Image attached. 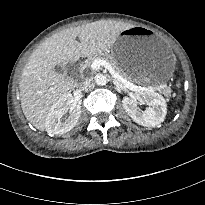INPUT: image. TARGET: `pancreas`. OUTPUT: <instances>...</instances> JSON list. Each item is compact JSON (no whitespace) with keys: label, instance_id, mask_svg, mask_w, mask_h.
Masks as SVG:
<instances>
[{"label":"pancreas","instance_id":"obj_1","mask_svg":"<svg viewBox=\"0 0 205 205\" xmlns=\"http://www.w3.org/2000/svg\"><path fill=\"white\" fill-rule=\"evenodd\" d=\"M95 59H102V60L107 61L112 66V68L115 70L116 73H118L121 77L129 80V78L121 71V69L119 68L117 62L113 59V57L111 55H108V54L100 53V54H95V55L90 56L85 61V66L91 67L92 62Z\"/></svg>","mask_w":205,"mask_h":205}]
</instances>
